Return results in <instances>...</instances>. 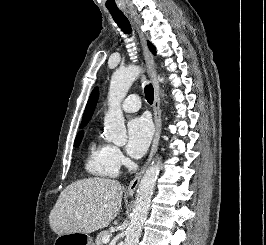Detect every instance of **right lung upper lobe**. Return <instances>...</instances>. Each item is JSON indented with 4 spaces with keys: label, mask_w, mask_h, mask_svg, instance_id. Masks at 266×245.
Returning a JSON list of instances; mask_svg holds the SVG:
<instances>
[{
    "label": "right lung upper lobe",
    "mask_w": 266,
    "mask_h": 245,
    "mask_svg": "<svg viewBox=\"0 0 266 245\" xmlns=\"http://www.w3.org/2000/svg\"><path fill=\"white\" fill-rule=\"evenodd\" d=\"M98 96H99L98 88H95L89 97L87 106H86L84 114H83L81 125H86L89 122V120L91 119L93 112H94V109L96 107Z\"/></svg>",
    "instance_id": "obj_1"
}]
</instances>
